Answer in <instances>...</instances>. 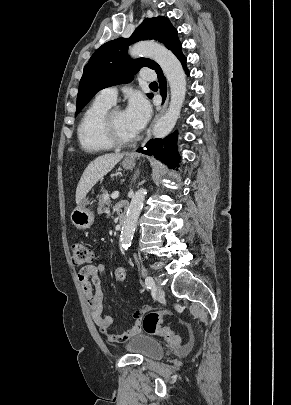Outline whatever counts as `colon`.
Returning <instances> with one entry per match:
<instances>
[{"label":"colon","instance_id":"colon-1","mask_svg":"<svg viewBox=\"0 0 291 405\" xmlns=\"http://www.w3.org/2000/svg\"><path fill=\"white\" fill-rule=\"evenodd\" d=\"M71 258L75 267L91 265L94 261V249L84 241H75L71 245ZM113 277L117 283H123L126 278L125 269L115 268ZM168 314H170L168 310L148 312L142 318L141 327L146 333L159 336L169 345L179 347L181 338L170 328L161 326L163 317Z\"/></svg>","mask_w":291,"mask_h":405}]
</instances>
